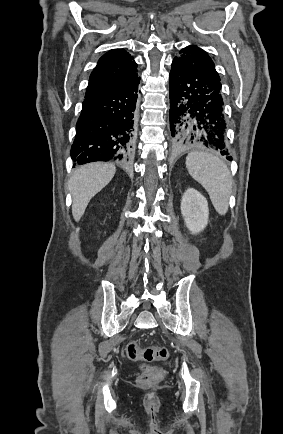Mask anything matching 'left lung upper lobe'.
<instances>
[{"mask_svg":"<svg viewBox=\"0 0 283 434\" xmlns=\"http://www.w3.org/2000/svg\"><path fill=\"white\" fill-rule=\"evenodd\" d=\"M180 55L175 57L181 61H184L195 68L205 72L206 74L219 79L220 77L215 70V65L209 55L201 48L193 45H189L180 50Z\"/></svg>","mask_w":283,"mask_h":434,"instance_id":"obj_1","label":"left lung upper lobe"}]
</instances>
